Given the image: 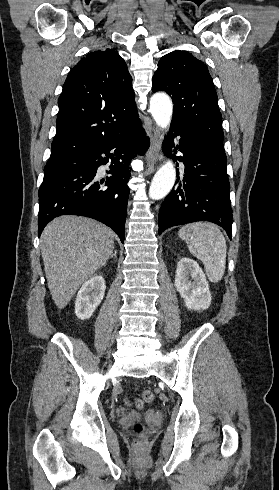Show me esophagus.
I'll use <instances>...</instances> for the list:
<instances>
[{"label":"esophagus","mask_w":279,"mask_h":490,"mask_svg":"<svg viewBox=\"0 0 279 490\" xmlns=\"http://www.w3.org/2000/svg\"><path fill=\"white\" fill-rule=\"evenodd\" d=\"M151 142L148 151L146 152V164L151 169L156 163V157L160 150V130L156 127L151 135Z\"/></svg>","instance_id":"esophagus-1"}]
</instances>
